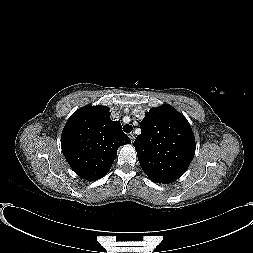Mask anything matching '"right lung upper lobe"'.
<instances>
[{"instance_id":"cb5924a9","label":"right lung upper lobe","mask_w":253,"mask_h":253,"mask_svg":"<svg viewBox=\"0 0 253 253\" xmlns=\"http://www.w3.org/2000/svg\"><path fill=\"white\" fill-rule=\"evenodd\" d=\"M106 106L87 105L68 119L61 136L63 154L71 168L89 181L110 170L120 146L131 143Z\"/></svg>"}]
</instances>
